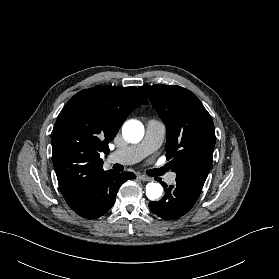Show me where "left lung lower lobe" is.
<instances>
[{"mask_svg": "<svg viewBox=\"0 0 279 279\" xmlns=\"http://www.w3.org/2000/svg\"><path fill=\"white\" fill-rule=\"evenodd\" d=\"M165 196L159 202L151 201L150 210L165 220L178 219L185 215L197 201L201 191L177 182L175 186L167 187Z\"/></svg>", "mask_w": 279, "mask_h": 279, "instance_id": "obj_1", "label": "left lung lower lobe"}]
</instances>
